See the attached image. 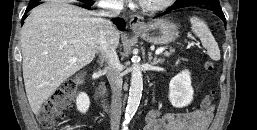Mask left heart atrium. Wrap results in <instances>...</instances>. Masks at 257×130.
Listing matches in <instances>:
<instances>
[{"mask_svg": "<svg viewBox=\"0 0 257 130\" xmlns=\"http://www.w3.org/2000/svg\"><path fill=\"white\" fill-rule=\"evenodd\" d=\"M137 1H139L140 3H142L144 0H137Z\"/></svg>", "mask_w": 257, "mask_h": 130, "instance_id": "39dd6f15", "label": "left heart atrium"}]
</instances>
